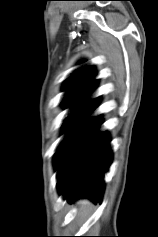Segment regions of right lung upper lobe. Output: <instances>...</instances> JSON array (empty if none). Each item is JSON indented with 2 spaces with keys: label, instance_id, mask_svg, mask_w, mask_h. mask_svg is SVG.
Segmentation results:
<instances>
[{
  "label": "right lung upper lobe",
  "instance_id": "1",
  "mask_svg": "<svg viewBox=\"0 0 158 237\" xmlns=\"http://www.w3.org/2000/svg\"><path fill=\"white\" fill-rule=\"evenodd\" d=\"M94 77L95 72L91 66L83 67L70 76L64 85V90L68 92L63 102L80 103L82 106L92 102L93 100L87 101L86 98L97 86V80Z\"/></svg>",
  "mask_w": 158,
  "mask_h": 237
}]
</instances>
